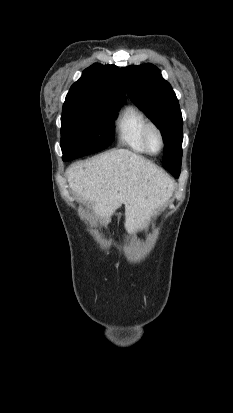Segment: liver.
Segmentation results:
<instances>
[{"label":"liver","mask_w":233,"mask_h":413,"mask_svg":"<svg viewBox=\"0 0 233 413\" xmlns=\"http://www.w3.org/2000/svg\"><path fill=\"white\" fill-rule=\"evenodd\" d=\"M70 188L82 201L93 203L95 213L111 220L125 205V227L139 230L161 210L174 182L154 163L127 149L111 150L72 164L66 171Z\"/></svg>","instance_id":"liver-1"}]
</instances>
